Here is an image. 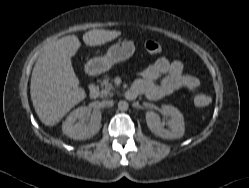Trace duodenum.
Wrapping results in <instances>:
<instances>
[{"instance_id": "obj_1", "label": "duodenum", "mask_w": 249, "mask_h": 188, "mask_svg": "<svg viewBox=\"0 0 249 188\" xmlns=\"http://www.w3.org/2000/svg\"><path fill=\"white\" fill-rule=\"evenodd\" d=\"M87 76H88L89 83H90L89 97L92 100H96V99H98V97L100 95L99 90L94 83L96 71L94 69H89L87 71ZM127 94L129 96V98L134 99L139 95V91L136 88H131L128 90Z\"/></svg>"}]
</instances>
